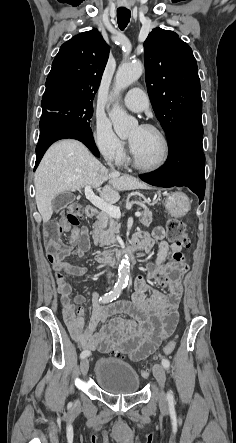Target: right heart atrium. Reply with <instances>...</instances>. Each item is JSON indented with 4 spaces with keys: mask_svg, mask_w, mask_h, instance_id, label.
<instances>
[{
    "mask_svg": "<svg viewBox=\"0 0 236 443\" xmlns=\"http://www.w3.org/2000/svg\"><path fill=\"white\" fill-rule=\"evenodd\" d=\"M92 139L102 156L116 164H121L126 156L125 143L117 137L110 125L103 119H96Z\"/></svg>",
    "mask_w": 236,
    "mask_h": 443,
    "instance_id": "right-heart-atrium-1",
    "label": "right heart atrium"
}]
</instances>
